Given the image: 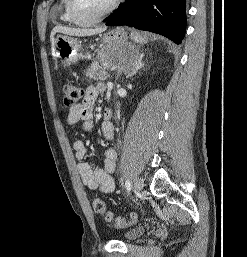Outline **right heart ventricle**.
<instances>
[{
	"instance_id": "1",
	"label": "right heart ventricle",
	"mask_w": 247,
	"mask_h": 257,
	"mask_svg": "<svg viewBox=\"0 0 247 257\" xmlns=\"http://www.w3.org/2000/svg\"><path fill=\"white\" fill-rule=\"evenodd\" d=\"M61 5H62L61 19L64 22L75 23L69 11V0H61Z\"/></svg>"
}]
</instances>
